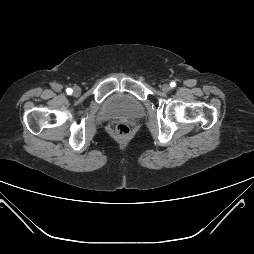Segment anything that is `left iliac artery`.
Segmentation results:
<instances>
[{"label":"left iliac artery","mask_w":254,"mask_h":254,"mask_svg":"<svg viewBox=\"0 0 254 254\" xmlns=\"http://www.w3.org/2000/svg\"><path fill=\"white\" fill-rule=\"evenodd\" d=\"M175 85H176L175 82H171V84H170L171 88H174Z\"/></svg>","instance_id":"44dca946"}]
</instances>
